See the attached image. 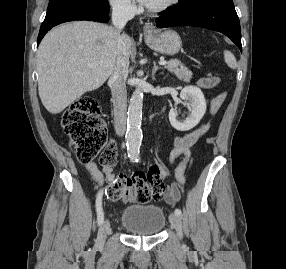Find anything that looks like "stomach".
Instances as JSON below:
<instances>
[{
  "instance_id": "obj_1",
  "label": "stomach",
  "mask_w": 286,
  "mask_h": 269,
  "mask_svg": "<svg viewBox=\"0 0 286 269\" xmlns=\"http://www.w3.org/2000/svg\"><path fill=\"white\" fill-rule=\"evenodd\" d=\"M145 42L151 49L165 55L178 53L182 46L180 36L173 30L148 32L145 34Z\"/></svg>"
}]
</instances>
